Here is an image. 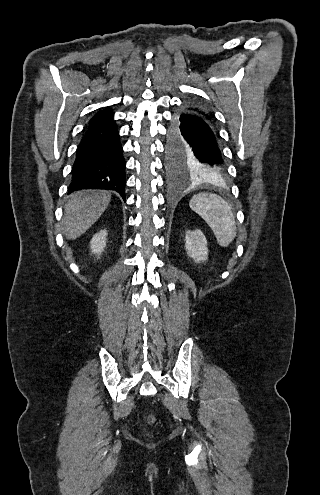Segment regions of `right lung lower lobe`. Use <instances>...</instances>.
Returning a JSON list of instances; mask_svg holds the SVG:
<instances>
[{
  "instance_id": "obj_1",
  "label": "right lung lower lobe",
  "mask_w": 320,
  "mask_h": 495,
  "mask_svg": "<svg viewBox=\"0 0 320 495\" xmlns=\"http://www.w3.org/2000/svg\"><path fill=\"white\" fill-rule=\"evenodd\" d=\"M123 148L113 118L88 125L76 151L68 193L81 189L118 192L125 201Z\"/></svg>"
}]
</instances>
